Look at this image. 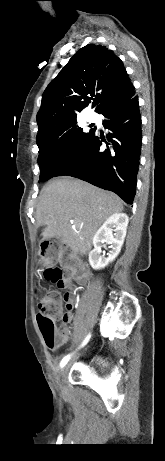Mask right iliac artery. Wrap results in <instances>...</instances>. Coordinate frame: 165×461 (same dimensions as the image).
<instances>
[{
  "mask_svg": "<svg viewBox=\"0 0 165 461\" xmlns=\"http://www.w3.org/2000/svg\"><path fill=\"white\" fill-rule=\"evenodd\" d=\"M89 338H90V335L86 338L83 345H85L88 342ZM69 359H70V355L65 356L61 361V366L63 367L69 361Z\"/></svg>",
  "mask_w": 165,
  "mask_h": 461,
  "instance_id": "obj_1",
  "label": "right iliac artery"
}]
</instances>
